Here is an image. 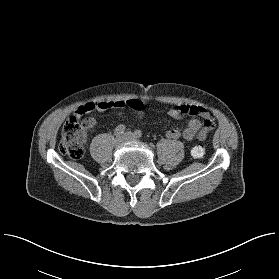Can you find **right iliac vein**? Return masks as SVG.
<instances>
[{"label":"right iliac vein","instance_id":"1","mask_svg":"<svg viewBox=\"0 0 279 279\" xmlns=\"http://www.w3.org/2000/svg\"><path fill=\"white\" fill-rule=\"evenodd\" d=\"M123 140H124V139H123L122 136L116 137L115 142H114L115 146H116V147L121 146V145L123 144Z\"/></svg>","mask_w":279,"mask_h":279}]
</instances>
